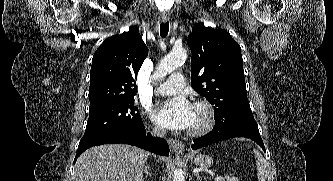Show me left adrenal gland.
I'll return each mask as SVG.
<instances>
[{"label": "left adrenal gland", "instance_id": "left-adrenal-gland-1", "mask_svg": "<svg viewBox=\"0 0 333 181\" xmlns=\"http://www.w3.org/2000/svg\"><path fill=\"white\" fill-rule=\"evenodd\" d=\"M195 176H196V180L197 181H201L202 179H206L205 177H203V176H200V174H198V173H196V174H194Z\"/></svg>", "mask_w": 333, "mask_h": 181}]
</instances>
